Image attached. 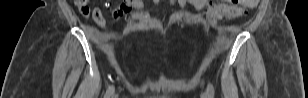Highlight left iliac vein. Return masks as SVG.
<instances>
[{"label":"left iliac vein","instance_id":"1","mask_svg":"<svg viewBox=\"0 0 308 98\" xmlns=\"http://www.w3.org/2000/svg\"><path fill=\"white\" fill-rule=\"evenodd\" d=\"M204 98H207V96L204 94Z\"/></svg>","mask_w":308,"mask_h":98}]
</instances>
